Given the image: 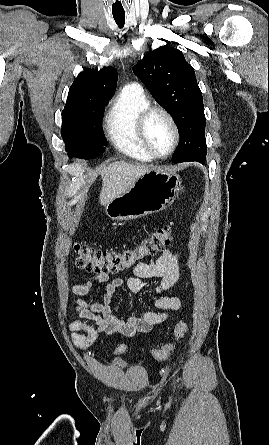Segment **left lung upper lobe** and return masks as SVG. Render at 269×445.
<instances>
[{
    "label": "left lung upper lobe",
    "instance_id": "obj_1",
    "mask_svg": "<svg viewBox=\"0 0 269 445\" xmlns=\"http://www.w3.org/2000/svg\"><path fill=\"white\" fill-rule=\"evenodd\" d=\"M133 72L177 124L180 142L172 161L203 163L207 152L203 98L183 53L161 46L138 61Z\"/></svg>",
    "mask_w": 269,
    "mask_h": 445
}]
</instances>
